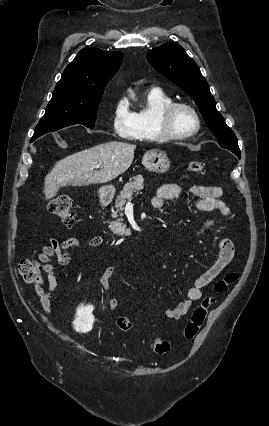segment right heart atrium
I'll use <instances>...</instances> for the list:
<instances>
[{
    "instance_id": "obj_1",
    "label": "right heart atrium",
    "mask_w": 269,
    "mask_h": 426,
    "mask_svg": "<svg viewBox=\"0 0 269 426\" xmlns=\"http://www.w3.org/2000/svg\"><path fill=\"white\" fill-rule=\"evenodd\" d=\"M111 128L122 139H133L136 136L135 113L125 98H118L113 104Z\"/></svg>"
}]
</instances>
